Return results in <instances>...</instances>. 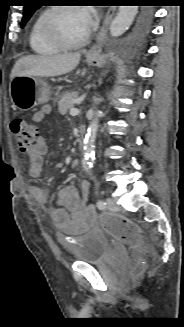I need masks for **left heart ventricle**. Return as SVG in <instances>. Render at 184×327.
<instances>
[{"instance_id": "1", "label": "left heart ventricle", "mask_w": 184, "mask_h": 327, "mask_svg": "<svg viewBox=\"0 0 184 327\" xmlns=\"http://www.w3.org/2000/svg\"><path fill=\"white\" fill-rule=\"evenodd\" d=\"M57 28L70 41L81 39L89 30V26L80 9H70L58 13Z\"/></svg>"}]
</instances>
